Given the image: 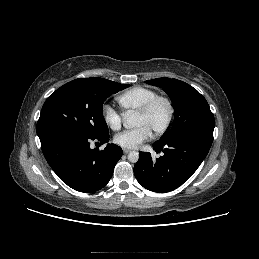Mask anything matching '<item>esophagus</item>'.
<instances>
[{"mask_svg":"<svg viewBox=\"0 0 259 259\" xmlns=\"http://www.w3.org/2000/svg\"><path fill=\"white\" fill-rule=\"evenodd\" d=\"M129 152H130L129 149H125V148L123 149V153H124V154H128Z\"/></svg>","mask_w":259,"mask_h":259,"instance_id":"1","label":"esophagus"}]
</instances>
